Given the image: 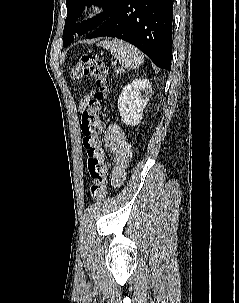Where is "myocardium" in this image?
<instances>
[{
    "instance_id": "1",
    "label": "myocardium",
    "mask_w": 239,
    "mask_h": 303,
    "mask_svg": "<svg viewBox=\"0 0 239 303\" xmlns=\"http://www.w3.org/2000/svg\"><path fill=\"white\" fill-rule=\"evenodd\" d=\"M103 9V5L99 1H91L83 8V15L86 18H91L98 15Z\"/></svg>"
}]
</instances>
